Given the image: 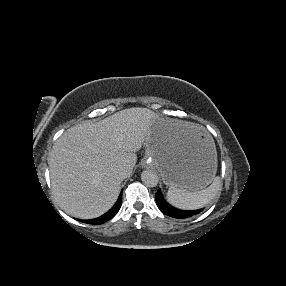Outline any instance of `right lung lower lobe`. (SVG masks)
Listing matches in <instances>:
<instances>
[{
    "instance_id": "right-lung-lower-lobe-1",
    "label": "right lung lower lobe",
    "mask_w": 286,
    "mask_h": 286,
    "mask_svg": "<svg viewBox=\"0 0 286 286\" xmlns=\"http://www.w3.org/2000/svg\"><path fill=\"white\" fill-rule=\"evenodd\" d=\"M121 203H122V194H120L115 205L104 215H102L98 218H95V219H91V220H79V221H82V222L88 223V224H95V225L102 224V223L110 220L111 218H113L117 214V212L119 211V209L121 207Z\"/></svg>"
}]
</instances>
